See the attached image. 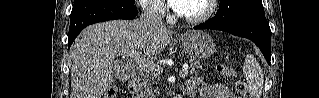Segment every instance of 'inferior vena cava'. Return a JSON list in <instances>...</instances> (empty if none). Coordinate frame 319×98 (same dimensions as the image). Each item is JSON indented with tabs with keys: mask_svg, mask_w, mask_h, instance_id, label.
Instances as JSON below:
<instances>
[{
	"mask_svg": "<svg viewBox=\"0 0 319 98\" xmlns=\"http://www.w3.org/2000/svg\"><path fill=\"white\" fill-rule=\"evenodd\" d=\"M143 13L140 16V21L145 27L149 28H166L162 21L159 7L151 0H145L142 5Z\"/></svg>",
	"mask_w": 319,
	"mask_h": 98,
	"instance_id": "inferior-vena-cava-1",
	"label": "inferior vena cava"
}]
</instances>
